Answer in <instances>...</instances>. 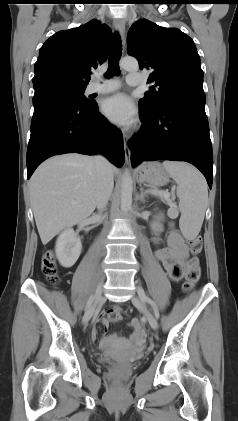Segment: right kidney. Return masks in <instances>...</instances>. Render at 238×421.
<instances>
[{"label":"right kidney","instance_id":"obj_1","mask_svg":"<svg viewBox=\"0 0 238 421\" xmlns=\"http://www.w3.org/2000/svg\"><path fill=\"white\" fill-rule=\"evenodd\" d=\"M82 250L80 238L72 228L64 230L57 238L55 252L59 263L65 267H72L78 260Z\"/></svg>","mask_w":238,"mask_h":421}]
</instances>
